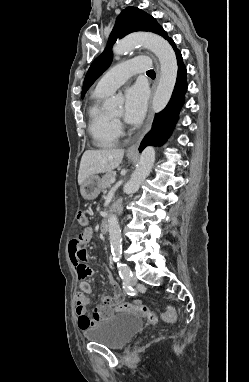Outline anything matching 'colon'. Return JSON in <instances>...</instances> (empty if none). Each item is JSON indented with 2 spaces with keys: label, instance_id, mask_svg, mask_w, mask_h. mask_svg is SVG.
Returning a JSON list of instances; mask_svg holds the SVG:
<instances>
[{
  "label": "colon",
  "instance_id": "1",
  "mask_svg": "<svg viewBox=\"0 0 249 382\" xmlns=\"http://www.w3.org/2000/svg\"><path fill=\"white\" fill-rule=\"evenodd\" d=\"M77 220L83 229L78 241H83V233L87 229V226L89 223V218L87 213L85 211H79L77 215ZM75 268L79 278L81 279L87 278L88 282L97 281V276L95 275V271L93 269H89V267L86 265V262H80V265L75 266ZM101 304L108 307H114L117 311L132 310L142 315L144 319L149 323H156L158 321V316L149 308L141 304L123 303L122 296L117 293H115L113 296H108V295L102 296ZM161 318L168 323H173L176 321L177 316H176L175 310L171 306H169L167 310L161 315Z\"/></svg>",
  "mask_w": 249,
  "mask_h": 382
}]
</instances>
